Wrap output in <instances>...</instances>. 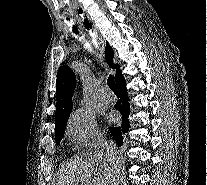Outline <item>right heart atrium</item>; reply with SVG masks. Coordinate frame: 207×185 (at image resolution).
Masks as SVG:
<instances>
[{"label": "right heart atrium", "instance_id": "right-heart-atrium-1", "mask_svg": "<svg viewBox=\"0 0 207 185\" xmlns=\"http://www.w3.org/2000/svg\"><path fill=\"white\" fill-rule=\"evenodd\" d=\"M66 128L71 141L82 149H92L102 140L95 116L87 109L73 111L68 117Z\"/></svg>", "mask_w": 207, "mask_h": 185}]
</instances>
